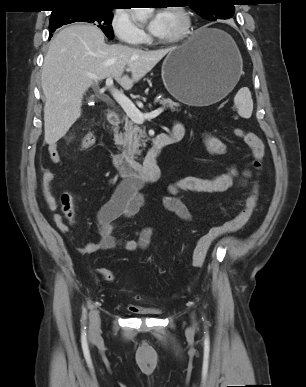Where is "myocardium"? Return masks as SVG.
I'll return each instance as SVG.
<instances>
[{"label":"myocardium","instance_id":"obj_1","mask_svg":"<svg viewBox=\"0 0 306 387\" xmlns=\"http://www.w3.org/2000/svg\"><path fill=\"white\" fill-rule=\"evenodd\" d=\"M166 11H172L176 13L181 20V26L177 33L174 35L164 38V39H158L157 41L161 44H174L183 41L190 33L191 26H192V18L190 13L185 7L182 6H172L170 8H167Z\"/></svg>","mask_w":306,"mask_h":387}]
</instances>
